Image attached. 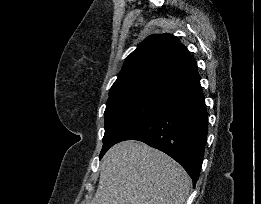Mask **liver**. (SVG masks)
Returning <instances> with one entry per match:
<instances>
[{"label": "liver", "mask_w": 261, "mask_h": 204, "mask_svg": "<svg viewBox=\"0 0 261 204\" xmlns=\"http://www.w3.org/2000/svg\"><path fill=\"white\" fill-rule=\"evenodd\" d=\"M191 179L171 157L144 143L124 141L103 158L90 204H184Z\"/></svg>", "instance_id": "6515ba94"}]
</instances>
